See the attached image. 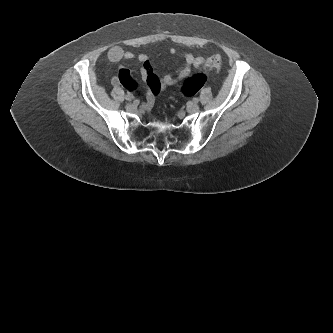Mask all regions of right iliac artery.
<instances>
[{"instance_id":"obj_1","label":"right iliac artery","mask_w":333,"mask_h":333,"mask_svg":"<svg viewBox=\"0 0 333 333\" xmlns=\"http://www.w3.org/2000/svg\"><path fill=\"white\" fill-rule=\"evenodd\" d=\"M133 99V97L131 96V95H126V100H128V101H131Z\"/></svg>"}]
</instances>
